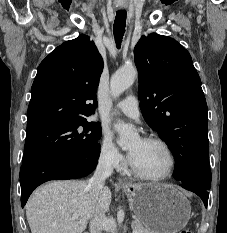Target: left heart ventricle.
<instances>
[{"label":"left heart ventricle","mask_w":227,"mask_h":233,"mask_svg":"<svg viewBox=\"0 0 227 233\" xmlns=\"http://www.w3.org/2000/svg\"><path fill=\"white\" fill-rule=\"evenodd\" d=\"M133 165L149 175H160L166 172L170 160L165 149L155 143L135 140L128 148Z\"/></svg>","instance_id":"obj_1"}]
</instances>
